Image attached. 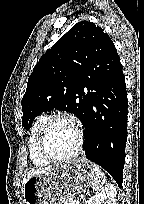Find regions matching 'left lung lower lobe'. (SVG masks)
Segmentation results:
<instances>
[{
    "instance_id": "0a47b994",
    "label": "left lung lower lobe",
    "mask_w": 144,
    "mask_h": 204,
    "mask_svg": "<svg viewBox=\"0 0 144 204\" xmlns=\"http://www.w3.org/2000/svg\"><path fill=\"white\" fill-rule=\"evenodd\" d=\"M104 60L86 72V157L103 167L122 186L127 141V93L120 59Z\"/></svg>"
}]
</instances>
